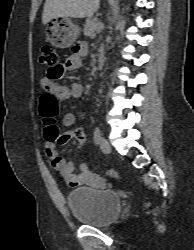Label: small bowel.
I'll return each mask as SVG.
<instances>
[{"instance_id":"c3829d8e","label":"small bowel","mask_w":194,"mask_h":250,"mask_svg":"<svg viewBox=\"0 0 194 250\" xmlns=\"http://www.w3.org/2000/svg\"><path fill=\"white\" fill-rule=\"evenodd\" d=\"M88 53V46L85 42H80L74 48L73 54L67 59L64 65H59L60 76L66 70H74L80 68L82 65L83 56ZM42 86L49 90L59 101L66 102L72 99H77L82 96L83 86L79 82H74L69 86L61 85L53 82L51 77H45L42 79ZM57 116V115H56ZM49 118L48 116H42L45 127L43 136L45 139V151L49 157L52 167L58 171L61 176L66 180L67 184L72 187L80 186L90 183L93 180V176L86 163H83L80 167V172H74V166L72 163L66 161L55 148L56 142L59 144H66L72 140L67 134H61L58 127L55 125V118ZM65 125L72 126L75 123L76 117L73 114H66L63 118ZM86 140V136L83 132V141ZM80 143V142H79Z\"/></svg>"}]
</instances>
